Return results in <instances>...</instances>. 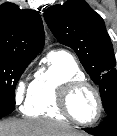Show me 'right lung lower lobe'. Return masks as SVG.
Listing matches in <instances>:
<instances>
[{"label":"right lung lower lobe","mask_w":117,"mask_h":136,"mask_svg":"<svg viewBox=\"0 0 117 136\" xmlns=\"http://www.w3.org/2000/svg\"><path fill=\"white\" fill-rule=\"evenodd\" d=\"M15 108V103L0 101V118L10 114Z\"/></svg>","instance_id":"obj_1"}]
</instances>
